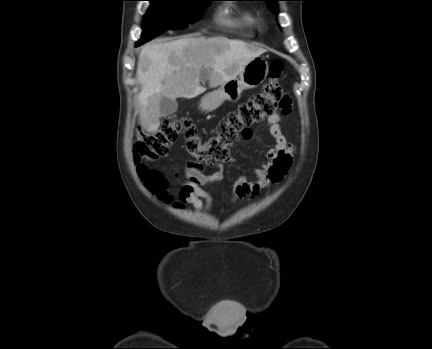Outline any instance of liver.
Here are the masks:
<instances>
[{"mask_svg":"<svg viewBox=\"0 0 432 349\" xmlns=\"http://www.w3.org/2000/svg\"><path fill=\"white\" fill-rule=\"evenodd\" d=\"M265 51L224 36H189L143 46L137 64V78L142 85L139 94L141 126L148 132L158 130L163 97L175 100L204 93L206 88L200 85L204 73L208 74L210 87L223 85Z\"/></svg>","mask_w":432,"mask_h":349,"instance_id":"6515ba94","label":"liver"}]
</instances>
